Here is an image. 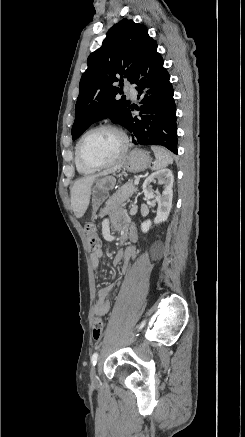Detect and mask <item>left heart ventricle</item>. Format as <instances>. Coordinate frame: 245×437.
Masks as SVG:
<instances>
[{
	"label": "left heart ventricle",
	"instance_id": "obj_1",
	"mask_svg": "<svg viewBox=\"0 0 245 437\" xmlns=\"http://www.w3.org/2000/svg\"><path fill=\"white\" fill-rule=\"evenodd\" d=\"M121 148V137L112 130L104 129L89 134L82 143L81 151L90 162L106 163L113 160Z\"/></svg>",
	"mask_w": 245,
	"mask_h": 437
}]
</instances>
